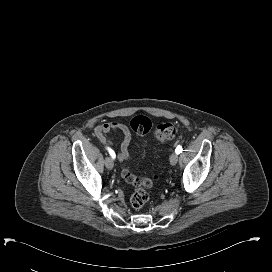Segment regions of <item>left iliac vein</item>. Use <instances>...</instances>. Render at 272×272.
Masks as SVG:
<instances>
[{"label":"left iliac vein","instance_id":"1","mask_svg":"<svg viewBox=\"0 0 272 272\" xmlns=\"http://www.w3.org/2000/svg\"><path fill=\"white\" fill-rule=\"evenodd\" d=\"M178 162V154L177 153H172L170 156V164L171 165H176Z\"/></svg>","mask_w":272,"mask_h":272}]
</instances>
